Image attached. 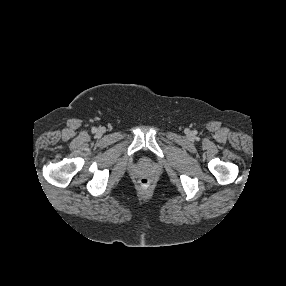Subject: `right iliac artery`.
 Segmentation results:
<instances>
[{"mask_svg":"<svg viewBox=\"0 0 286 286\" xmlns=\"http://www.w3.org/2000/svg\"><path fill=\"white\" fill-rule=\"evenodd\" d=\"M97 131V129L94 127L92 128V132L95 133Z\"/></svg>","mask_w":286,"mask_h":286,"instance_id":"right-iliac-artery-1","label":"right iliac artery"}]
</instances>
